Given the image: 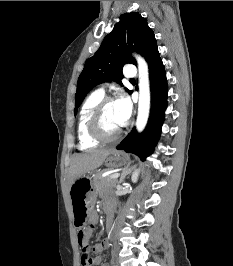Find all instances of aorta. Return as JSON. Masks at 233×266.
I'll return each mask as SVG.
<instances>
[{
  "label": "aorta",
  "instance_id": "1",
  "mask_svg": "<svg viewBox=\"0 0 233 266\" xmlns=\"http://www.w3.org/2000/svg\"><path fill=\"white\" fill-rule=\"evenodd\" d=\"M138 63L139 76V101H138V115L136 127L139 132L143 131L150 112V84L148 65L144 58L135 55Z\"/></svg>",
  "mask_w": 233,
  "mask_h": 266
}]
</instances>
